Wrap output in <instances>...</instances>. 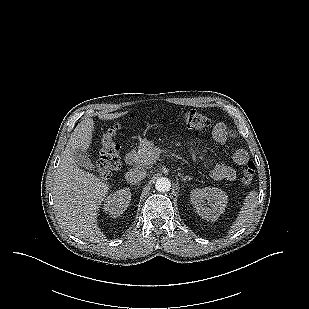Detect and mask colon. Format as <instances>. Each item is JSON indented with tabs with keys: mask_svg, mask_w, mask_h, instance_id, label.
I'll return each instance as SVG.
<instances>
[{
	"mask_svg": "<svg viewBox=\"0 0 309 309\" xmlns=\"http://www.w3.org/2000/svg\"><path fill=\"white\" fill-rule=\"evenodd\" d=\"M178 116L190 128L207 129L212 125L208 117L195 110L182 111ZM119 130L120 125L116 124L103 135L101 156L95 161V168L102 177H108L112 171L120 168V147L115 142V137ZM254 173L255 165L252 161H249L246 168L240 174L241 182L245 185L250 184L254 178Z\"/></svg>",
	"mask_w": 309,
	"mask_h": 309,
	"instance_id": "1",
	"label": "colon"
}]
</instances>
